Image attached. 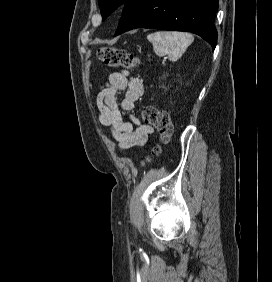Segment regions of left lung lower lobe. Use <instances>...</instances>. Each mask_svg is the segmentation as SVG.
<instances>
[{"mask_svg": "<svg viewBox=\"0 0 272 282\" xmlns=\"http://www.w3.org/2000/svg\"><path fill=\"white\" fill-rule=\"evenodd\" d=\"M218 0H127L115 36L134 28L190 31L216 46Z\"/></svg>", "mask_w": 272, "mask_h": 282, "instance_id": "0a47b994", "label": "left lung lower lobe"}]
</instances>
